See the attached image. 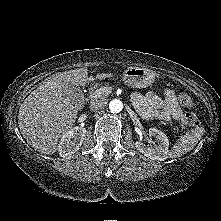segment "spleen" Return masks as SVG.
Segmentation results:
<instances>
[{
  "mask_svg": "<svg viewBox=\"0 0 221 221\" xmlns=\"http://www.w3.org/2000/svg\"><path fill=\"white\" fill-rule=\"evenodd\" d=\"M203 133L204 129L199 128L181 136L174 144L172 150L169 153V156L171 158L181 157L190 150H192L196 146L198 141L201 139Z\"/></svg>",
  "mask_w": 221,
  "mask_h": 221,
  "instance_id": "spleen-1",
  "label": "spleen"
}]
</instances>
